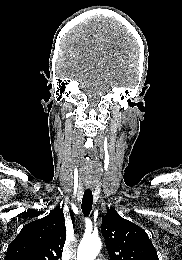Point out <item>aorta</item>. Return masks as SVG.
Returning a JSON list of instances; mask_svg holds the SVG:
<instances>
[{
  "instance_id": "aorta-1",
  "label": "aorta",
  "mask_w": 182,
  "mask_h": 260,
  "mask_svg": "<svg viewBox=\"0 0 182 260\" xmlns=\"http://www.w3.org/2000/svg\"><path fill=\"white\" fill-rule=\"evenodd\" d=\"M101 240L98 237H84L77 251V260H94L101 250Z\"/></svg>"
}]
</instances>
